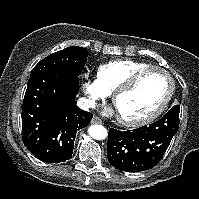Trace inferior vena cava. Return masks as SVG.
Returning a JSON list of instances; mask_svg holds the SVG:
<instances>
[{"mask_svg":"<svg viewBox=\"0 0 199 199\" xmlns=\"http://www.w3.org/2000/svg\"><path fill=\"white\" fill-rule=\"evenodd\" d=\"M77 105L80 109L88 111L95 108L96 102L93 99L82 97L78 99Z\"/></svg>","mask_w":199,"mask_h":199,"instance_id":"602c4592","label":"inferior vena cava"}]
</instances>
